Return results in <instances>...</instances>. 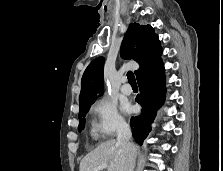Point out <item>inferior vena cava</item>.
I'll list each match as a JSON object with an SVG mask.
<instances>
[{
  "label": "inferior vena cava",
  "instance_id": "inferior-vena-cava-1",
  "mask_svg": "<svg viewBox=\"0 0 223 171\" xmlns=\"http://www.w3.org/2000/svg\"><path fill=\"white\" fill-rule=\"evenodd\" d=\"M132 133L126 123L120 124L117 134V142L122 146L125 152L124 171H134L136 159V147L130 142Z\"/></svg>",
  "mask_w": 223,
  "mask_h": 171
}]
</instances>
